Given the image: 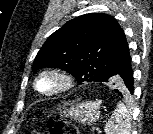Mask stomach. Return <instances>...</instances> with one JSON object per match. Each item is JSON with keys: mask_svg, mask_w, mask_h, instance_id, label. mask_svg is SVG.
<instances>
[{"mask_svg": "<svg viewBox=\"0 0 153 134\" xmlns=\"http://www.w3.org/2000/svg\"><path fill=\"white\" fill-rule=\"evenodd\" d=\"M61 116L73 118L83 125H92L101 116L100 105L97 102H82L61 112Z\"/></svg>", "mask_w": 153, "mask_h": 134, "instance_id": "1", "label": "stomach"}]
</instances>
